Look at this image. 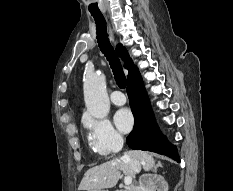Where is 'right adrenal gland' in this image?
Here are the masks:
<instances>
[{
    "label": "right adrenal gland",
    "mask_w": 233,
    "mask_h": 191,
    "mask_svg": "<svg viewBox=\"0 0 233 191\" xmlns=\"http://www.w3.org/2000/svg\"><path fill=\"white\" fill-rule=\"evenodd\" d=\"M159 167H162V164H161V162L158 161L157 164H156V166H155L154 169H153V172L156 173V172H157V169H158ZM144 176H147V174L143 175V177H144Z\"/></svg>",
    "instance_id": "obj_1"
}]
</instances>
